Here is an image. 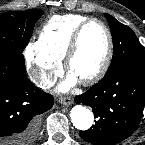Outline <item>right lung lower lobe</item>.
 <instances>
[{"instance_id":"98d812e1","label":"right lung lower lobe","mask_w":145,"mask_h":145,"mask_svg":"<svg viewBox=\"0 0 145 145\" xmlns=\"http://www.w3.org/2000/svg\"><path fill=\"white\" fill-rule=\"evenodd\" d=\"M53 96L26 77L22 53L0 54V145H31L38 115L53 106Z\"/></svg>"}]
</instances>
